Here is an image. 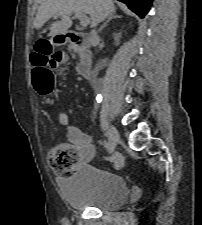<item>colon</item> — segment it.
I'll use <instances>...</instances> for the list:
<instances>
[{
  "mask_svg": "<svg viewBox=\"0 0 202 225\" xmlns=\"http://www.w3.org/2000/svg\"><path fill=\"white\" fill-rule=\"evenodd\" d=\"M34 69L32 72L33 85L36 91L43 96L53 91V69H57L65 62L66 54L63 51H53L50 43L40 42L35 47ZM47 161L61 177H68L77 168V150L73 146H52L47 153ZM110 162L115 169H121L124 159L120 154H113Z\"/></svg>",
  "mask_w": 202,
  "mask_h": 225,
  "instance_id": "5ec220e1",
  "label": "colon"
}]
</instances>
